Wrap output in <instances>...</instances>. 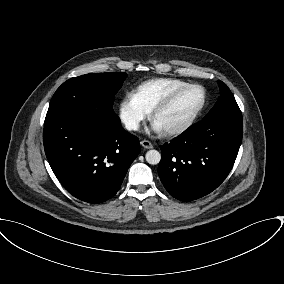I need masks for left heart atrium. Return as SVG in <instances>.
<instances>
[{"label": "left heart atrium", "instance_id": "1", "mask_svg": "<svg viewBox=\"0 0 284 284\" xmlns=\"http://www.w3.org/2000/svg\"><path fill=\"white\" fill-rule=\"evenodd\" d=\"M153 129H154L155 131H160V128H159L158 126H156L155 124L153 125Z\"/></svg>", "mask_w": 284, "mask_h": 284}]
</instances>
